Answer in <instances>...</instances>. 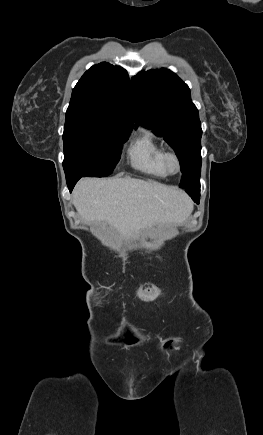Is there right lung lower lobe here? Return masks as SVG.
Masks as SVG:
<instances>
[{
  "instance_id": "right-lung-lower-lobe-1",
  "label": "right lung lower lobe",
  "mask_w": 263,
  "mask_h": 435,
  "mask_svg": "<svg viewBox=\"0 0 263 435\" xmlns=\"http://www.w3.org/2000/svg\"><path fill=\"white\" fill-rule=\"evenodd\" d=\"M81 177H76V178H72L67 180V185H68V189L70 190V192L72 191V189L74 188L75 184L77 183V181L80 179Z\"/></svg>"
}]
</instances>
